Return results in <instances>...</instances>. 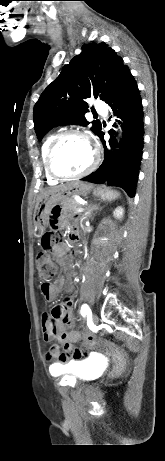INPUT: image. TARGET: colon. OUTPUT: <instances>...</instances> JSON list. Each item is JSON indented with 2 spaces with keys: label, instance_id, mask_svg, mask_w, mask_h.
Masks as SVG:
<instances>
[{
  "label": "colon",
  "instance_id": "5ec220e1",
  "mask_svg": "<svg viewBox=\"0 0 165 461\" xmlns=\"http://www.w3.org/2000/svg\"><path fill=\"white\" fill-rule=\"evenodd\" d=\"M60 242V236L57 232L48 231L43 234L41 238V252L36 257L37 274L40 278H48L55 274L56 267L54 263L48 258V252ZM55 317L59 316L58 308L52 310ZM91 338V336H89ZM57 345L61 347L63 352H67L73 360H80L87 357L89 350L87 345L82 343L79 348L77 340H59Z\"/></svg>",
  "mask_w": 165,
  "mask_h": 461
}]
</instances>
